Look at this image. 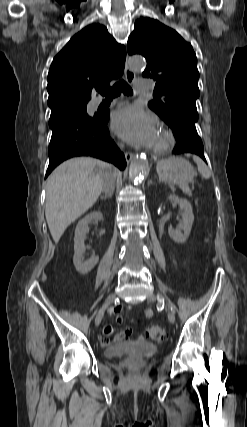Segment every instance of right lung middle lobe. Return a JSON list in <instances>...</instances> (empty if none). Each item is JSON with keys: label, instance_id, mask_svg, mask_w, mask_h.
Masks as SVG:
<instances>
[{"label": "right lung middle lobe", "instance_id": "right-lung-middle-lobe-1", "mask_svg": "<svg viewBox=\"0 0 247 427\" xmlns=\"http://www.w3.org/2000/svg\"><path fill=\"white\" fill-rule=\"evenodd\" d=\"M63 110H65V111L77 112V113H81V114H84V115L88 116V115H87V111H86V105H83V106H73V107H68V108H65V109H63ZM94 116H95V115H94Z\"/></svg>", "mask_w": 247, "mask_h": 427}]
</instances>
